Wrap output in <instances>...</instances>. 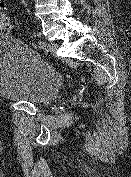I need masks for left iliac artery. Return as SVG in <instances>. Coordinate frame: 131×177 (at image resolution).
I'll return each mask as SVG.
<instances>
[{
  "label": "left iliac artery",
  "instance_id": "1",
  "mask_svg": "<svg viewBox=\"0 0 131 177\" xmlns=\"http://www.w3.org/2000/svg\"><path fill=\"white\" fill-rule=\"evenodd\" d=\"M38 47L40 49H44L46 47V43L44 41H40L39 44H38Z\"/></svg>",
  "mask_w": 131,
  "mask_h": 177
}]
</instances>
